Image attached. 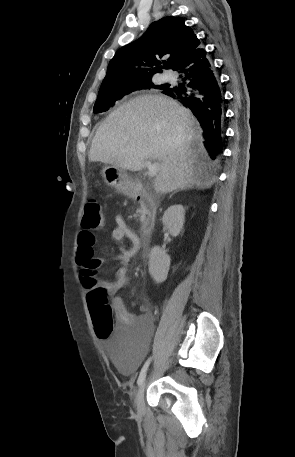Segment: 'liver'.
Masks as SVG:
<instances>
[{"label":"liver","mask_w":295,"mask_h":457,"mask_svg":"<svg viewBox=\"0 0 295 457\" xmlns=\"http://www.w3.org/2000/svg\"><path fill=\"white\" fill-rule=\"evenodd\" d=\"M91 162L140 171L157 160L156 192L166 194L214 183L202 129L189 109L162 95H142L111 112L98 128L89 150Z\"/></svg>","instance_id":"6515ba94"}]
</instances>
